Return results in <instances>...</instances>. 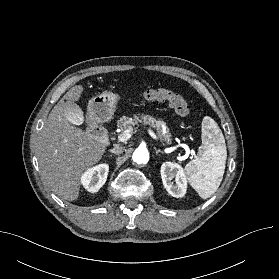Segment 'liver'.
<instances>
[{"label": "liver", "instance_id": "6515ba94", "mask_svg": "<svg viewBox=\"0 0 279 279\" xmlns=\"http://www.w3.org/2000/svg\"><path fill=\"white\" fill-rule=\"evenodd\" d=\"M83 91L82 85L68 90L51 110L37 138L41 176L51 191L68 201L78 198L81 176L100 161L106 150L67 117L64 100L78 101Z\"/></svg>", "mask_w": 279, "mask_h": 279}]
</instances>
